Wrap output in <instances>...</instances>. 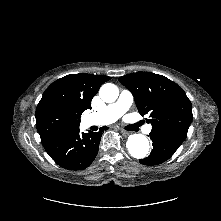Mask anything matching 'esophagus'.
<instances>
[{"instance_id": "34e87169", "label": "esophagus", "mask_w": 221, "mask_h": 221, "mask_svg": "<svg viewBox=\"0 0 221 221\" xmlns=\"http://www.w3.org/2000/svg\"><path fill=\"white\" fill-rule=\"evenodd\" d=\"M121 132H122V134L125 135V136H128V135L131 134L130 131H127V130H124V129H121Z\"/></svg>"}]
</instances>
